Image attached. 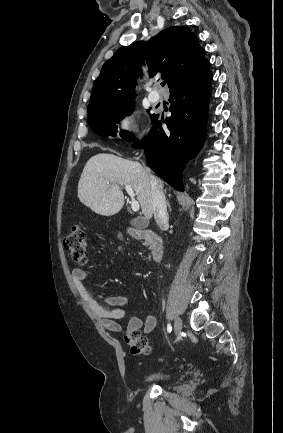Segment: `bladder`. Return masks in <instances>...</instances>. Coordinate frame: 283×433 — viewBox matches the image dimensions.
Returning <instances> with one entry per match:
<instances>
[{
    "label": "bladder",
    "instance_id": "obj_1",
    "mask_svg": "<svg viewBox=\"0 0 283 433\" xmlns=\"http://www.w3.org/2000/svg\"><path fill=\"white\" fill-rule=\"evenodd\" d=\"M169 374H163L161 375V378L163 379V381L168 380Z\"/></svg>",
    "mask_w": 283,
    "mask_h": 433
}]
</instances>
